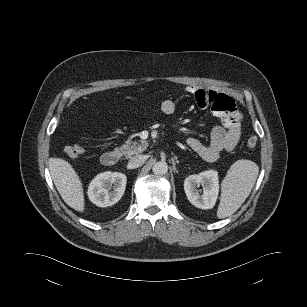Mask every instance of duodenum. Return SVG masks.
<instances>
[{
	"instance_id": "duodenum-1",
	"label": "duodenum",
	"mask_w": 307,
	"mask_h": 307,
	"mask_svg": "<svg viewBox=\"0 0 307 307\" xmlns=\"http://www.w3.org/2000/svg\"><path fill=\"white\" fill-rule=\"evenodd\" d=\"M119 159H120V153L116 150L106 151L101 156L102 164L107 167L116 165Z\"/></svg>"
}]
</instances>
